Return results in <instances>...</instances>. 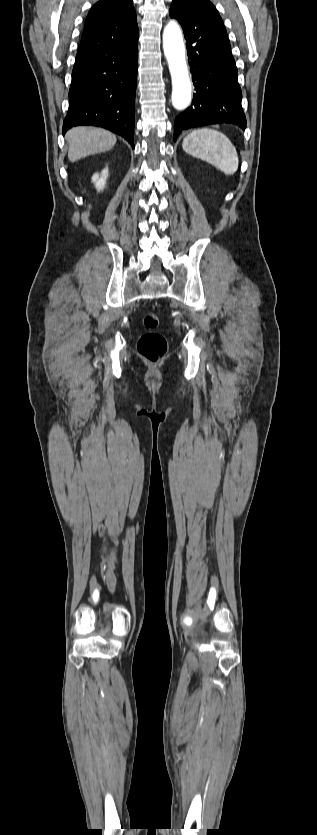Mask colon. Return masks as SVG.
Here are the masks:
<instances>
[{"label":"colon","mask_w":317,"mask_h":835,"mask_svg":"<svg viewBox=\"0 0 317 835\" xmlns=\"http://www.w3.org/2000/svg\"><path fill=\"white\" fill-rule=\"evenodd\" d=\"M146 328L153 329L159 324L156 314H148L143 320ZM137 351L141 357L149 362H159L167 352V341L158 333H146L142 335L137 344Z\"/></svg>","instance_id":"obj_1"}]
</instances>
